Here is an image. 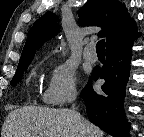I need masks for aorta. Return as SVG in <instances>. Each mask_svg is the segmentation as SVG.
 I'll return each mask as SVG.
<instances>
[{
	"label": "aorta",
	"instance_id": "aorta-1",
	"mask_svg": "<svg viewBox=\"0 0 144 137\" xmlns=\"http://www.w3.org/2000/svg\"><path fill=\"white\" fill-rule=\"evenodd\" d=\"M66 44L64 42L61 43V47L63 48V50L65 49ZM65 54V52L63 51V55Z\"/></svg>",
	"mask_w": 144,
	"mask_h": 137
}]
</instances>
